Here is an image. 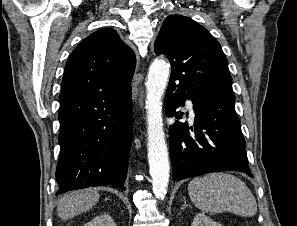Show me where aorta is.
<instances>
[{"instance_id": "1", "label": "aorta", "mask_w": 297, "mask_h": 226, "mask_svg": "<svg viewBox=\"0 0 297 226\" xmlns=\"http://www.w3.org/2000/svg\"><path fill=\"white\" fill-rule=\"evenodd\" d=\"M169 64L156 59L152 62L146 83V109L148 116V161L152 177L153 192L163 199L169 183L168 150L163 132L162 96L168 77Z\"/></svg>"}]
</instances>
